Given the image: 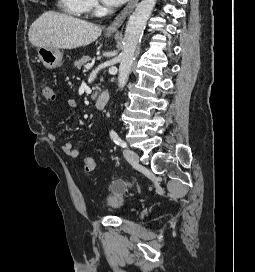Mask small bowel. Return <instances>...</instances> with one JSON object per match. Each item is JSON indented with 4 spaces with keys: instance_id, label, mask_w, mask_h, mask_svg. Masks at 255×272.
<instances>
[{
    "instance_id": "obj_1",
    "label": "small bowel",
    "mask_w": 255,
    "mask_h": 272,
    "mask_svg": "<svg viewBox=\"0 0 255 272\" xmlns=\"http://www.w3.org/2000/svg\"><path fill=\"white\" fill-rule=\"evenodd\" d=\"M68 106L72 110H75L77 108V104L74 101H70L68 103ZM48 137L52 142H55L57 140V136L54 133H50ZM61 149L69 158H77L80 155L79 149L70 142L63 143L61 145Z\"/></svg>"
}]
</instances>
